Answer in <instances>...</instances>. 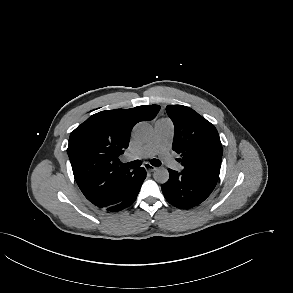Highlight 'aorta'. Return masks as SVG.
<instances>
[{
    "instance_id": "762f6f07",
    "label": "aorta",
    "mask_w": 293,
    "mask_h": 293,
    "mask_svg": "<svg viewBox=\"0 0 293 293\" xmlns=\"http://www.w3.org/2000/svg\"><path fill=\"white\" fill-rule=\"evenodd\" d=\"M132 136L137 142H147L153 136V129L149 123L140 122L133 128ZM153 178L158 183H166L169 179V172L164 167L157 168L153 173Z\"/></svg>"
}]
</instances>
